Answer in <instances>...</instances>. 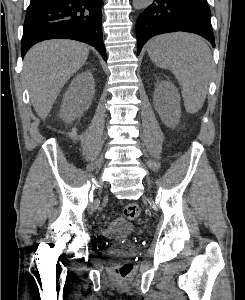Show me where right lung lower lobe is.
Masks as SVG:
<instances>
[{"label": "right lung lower lobe", "instance_id": "obj_1", "mask_svg": "<svg viewBox=\"0 0 245 300\" xmlns=\"http://www.w3.org/2000/svg\"><path fill=\"white\" fill-rule=\"evenodd\" d=\"M102 0H37L27 9L22 56L37 42L65 38L90 44L107 60L102 37Z\"/></svg>", "mask_w": 245, "mask_h": 300}]
</instances>
